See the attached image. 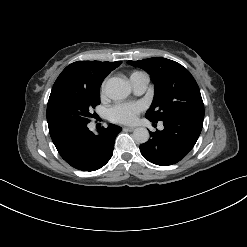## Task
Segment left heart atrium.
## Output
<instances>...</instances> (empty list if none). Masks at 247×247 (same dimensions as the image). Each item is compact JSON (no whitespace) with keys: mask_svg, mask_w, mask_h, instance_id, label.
<instances>
[{"mask_svg":"<svg viewBox=\"0 0 247 247\" xmlns=\"http://www.w3.org/2000/svg\"><path fill=\"white\" fill-rule=\"evenodd\" d=\"M141 103H120L110 109L111 120L119 123H132L143 110Z\"/></svg>","mask_w":247,"mask_h":247,"instance_id":"1","label":"left heart atrium"}]
</instances>
